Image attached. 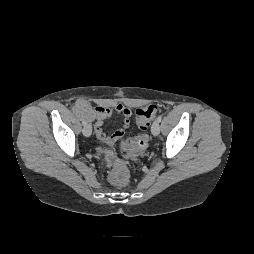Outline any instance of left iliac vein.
I'll return each instance as SVG.
<instances>
[{"instance_id": "left-iliac-vein-1", "label": "left iliac vein", "mask_w": 254, "mask_h": 254, "mask_svg": "<svg viewBox=\"0 0 254 254\" xmlns=\"http://www.w3.org/2000/svg\"><path fill=\"white\" fill-rule=\"evenodd\" d=\"M151 132L154 136H157L160 133V124L157 120L153 122Z\"/></svg>"}]
</instances>
